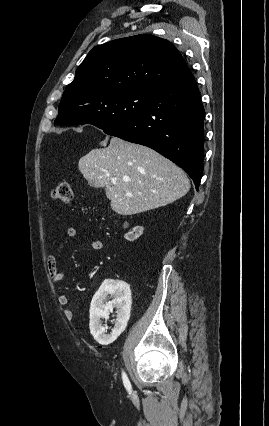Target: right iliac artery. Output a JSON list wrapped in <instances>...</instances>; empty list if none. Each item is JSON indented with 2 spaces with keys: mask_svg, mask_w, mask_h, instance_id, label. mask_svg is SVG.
<instances>
[{
  "mask_svg": "<svg viewBox=\"0 0 269 426\" xmlns=\"http://www.w3.org/2000/svg\"><path fill=\"white\" fill-rule=\"evenodd\" d=\"M122 379H123V383H124L126 390L128 392H131V389H132L131 383H130V381H129V379H128V377H127V375L124 371L122 372Z\"/></svg>",
  "mask_w": 269,
  "mask_h": 426,
  "instance_id": "1",
  "label": "right iliac artery"
}]
</instances>
